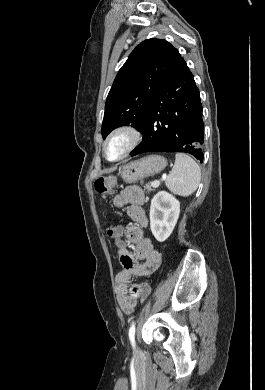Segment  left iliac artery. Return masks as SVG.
Here are the masks:
<instances>
[{"label":"left iliac artery","instance_id":"1","mask_svg":"<svg viewBox=\"0 0 265 390\" xmlns=\"http://www.w3.org/2000/svg\"><path fill=\"white\" fill-rule=\"evenodd\" d=\"M128 335L133 348H135V325L134 324L130 327Z\"/></svg>","mask_w":265,"mask_h":390}]
</instances>
